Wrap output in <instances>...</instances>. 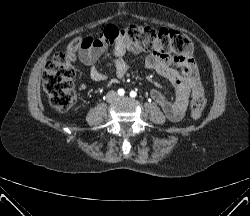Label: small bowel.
Returning <instances> with one entry per match:
<instances>
[{"label":"small bowel","instance_id":"1","mask_svg":"<svg viewBox=\"0 0 250 216\" xmlns=\"http://www.w3.org/2000/svg\"><path fill=\"white\" fill-rule=\"evenodd\" d=\"M105 46L90 45L81 48L79 56L83 64L90 67V77L94 82H105L108 77L100 72L95 63L104 53ZM141 49L132 46L124 40L115 43L113 54L115 56L114 68L116 79H121L128 70L124 59L127 52L139 54ZM145 67L157 72L168 79L175 88L176 98L168 100L160 91L151 92L152 99L162 108L166 116L172 121L181 120L188 108L190 94L198 91L203 93V88L198 76V70L191 58L170 56L163 54L159 49L150 52L145 60Z\"/></svg>","mask_w":250,"mask_h":216}]
</instances>
